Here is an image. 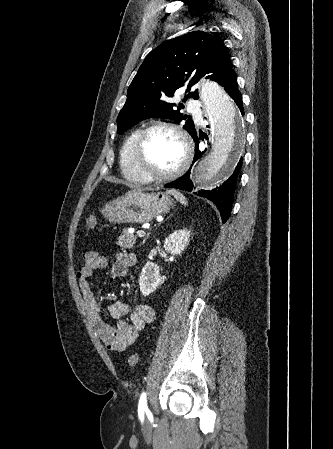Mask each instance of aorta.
Here are the masks:
<instances>
[{"label":"aorta","mask_w":333,"mask_h":449,"mask_svg":"<svg viewBox=\"0 0 333 449\" xmlns=\"http://www.w3.org/2000/svg\"><path fill=\"white\" fill-rule=\"evenodd\" d=\"M200 97L212 123V149L196 163L194 185L211 189L236 161L243 143L241 119L233 99L218 84L202 85Z\"/></svg>","instance_id":"aorta-1"}]
</instances>
